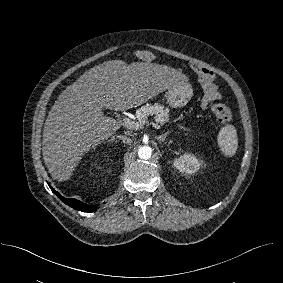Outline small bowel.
I'll use <instances>...</instances> for the list:
<instances>
[{
    "mask_svg": "<svg viewBox=\"0 0 283 283\" xmlns=\"http://www.w3.org/2000/svg\"><path fill=\"white\" fill-rule=\"evenodd\" d=\"M192 70L198 75L203 88L202 106L205 108L211 101L220 97L215 84V74L206 67L192 64Z\"/></svg>",
    "mask_w": 283,
    "mask_h": 283,
    "instance_id": "c3829d8e",
    "label": "small bowel"
}]
</instances>
